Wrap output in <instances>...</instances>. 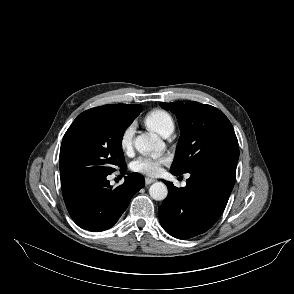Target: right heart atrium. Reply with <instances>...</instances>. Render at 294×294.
I'll use <instances>...</instances> for the list:
<instances>
[{"mask_svg": "<svg viewBox=\"0 0 294 294\" xmlns=\"http://www.w3.org/2000/svg\"><path fill=\"white\" fill-rule=\"evenodd\" d=\"M135 130L136 124L132 122L122 131L120 135L119 144L124 153H128L132 150Z\"/></svg>", "mask_w": 294, "mask_h": 294, "instance_id": "d8ad5b80", "label": "right heart atrium"}]
</instances>
